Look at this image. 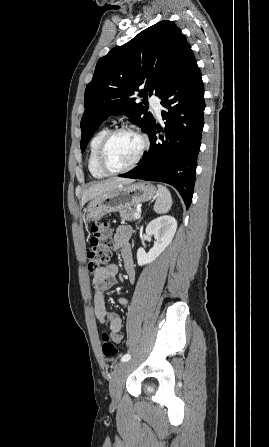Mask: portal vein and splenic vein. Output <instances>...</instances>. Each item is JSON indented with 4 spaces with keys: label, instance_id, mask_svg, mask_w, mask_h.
Instances as JSON below:
<instances>
[{
    "label": "portal vein and splenic vein",
    "instance_id": "obj_1",
    "mask_svg": "<svg viewBox=\"0 0 269 447\" xmlns=\"http://www.w3.org/2000/svg\"><path fill=\"white\" fill-rule=\"evenodd\" d=\"M134 218L135 220H139V218H141V214H139V212H135Z\"/></svg>",
    "mask_w": 269,
    "mask_h": 447
}]
</instances>
